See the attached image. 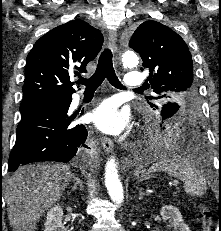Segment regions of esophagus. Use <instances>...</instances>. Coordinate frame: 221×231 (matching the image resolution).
Segmentation results:
<instances>
[{
	"label": "esophagus",
	"instance_id": "34e87169",
	"mask_svg": "<svg viewBox=\"0 0 221 231\" xmlns=\"http://www.w3.org/2000/svg\"><path fill=\"white\" fill-rule=\"evenodd\" d=\"M108 45L113 52L117 50V32L115 29H111L108 34ZM101 144L106 153H110L113 150V142L108 137H101Z\"/></svg>",
	"mask_w": 221,
	"mask_h": 231
}]
</instances>
